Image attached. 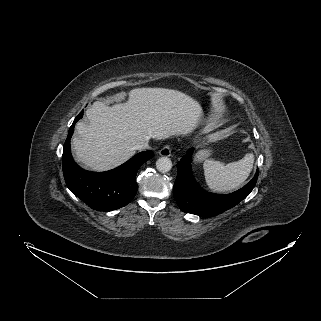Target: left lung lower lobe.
<instances>
[{"label":"left lung lower lobe","mask_w":321,"mask_h":321,"mask_svg":"<svg viewBox=\"0 0 321 321\" xmlns=\"http://www.w3.org/2000/svg\"><path fill=\"white\" fill-rule=\"evenodd\" d=\"M190 148L184 158L177 163V178L174 183V197L179 208L186 213L200 217H213L234 207L253 190L258 178V170L250 182L241 189L226 195L208 193L199 188L191 171Z\"/></svg>","instance_id":"0a47b994"}]
</instances>
